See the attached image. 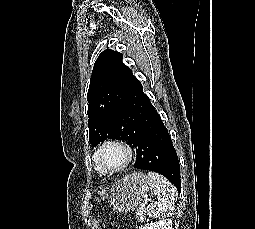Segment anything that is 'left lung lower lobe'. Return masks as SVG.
Returning a JSON list of instances; mask_svg holds the SVG:
<instances>
[{
	"label": "left lung lower lobe",
	"instance_id": "0a47b994",
	"mask_svg": "<svg viewBox=\"0 0 255 229\" xmlns=\"http://www.w3.org/2000/svg\"><path fill=\"white\" fill-rule=\"evenodd\" d=\"M117 116L123 119L122 129L136 148L134 168L162 174L180 192V165L176 150L167 128L136 77Z\"/></svg>",
	"mask_w": 255,
	"mask_h": 229
}]
</instances>
